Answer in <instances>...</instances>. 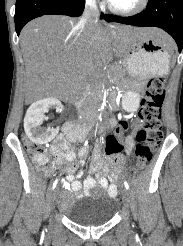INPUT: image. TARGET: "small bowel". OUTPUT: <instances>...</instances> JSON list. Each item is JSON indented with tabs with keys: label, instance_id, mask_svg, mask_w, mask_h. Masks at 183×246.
Listing matches in <instances>:
<instances>
[{
	"label": "small bowel",
	"instance_id": "1",
	"mask_svg": "<svg viewBox=\"0 0 183 246\" xmlns=\"http://www.w3.org/2000/svg\"><path fill=\"white\" fill-rule=\"evenodd\" d=\"M108 129L109 127L105 126L96 128L98 132H104ZM80 133L85 134V131H80ZM70 141H72V139L60 135L56 138L52 146V152L57 158L59 165L63 166L64 161L72 162L71 165L63 167V171L66 173V179L63 182L64 188L74 192L77 197H81L82 187L84 194H88L93 187L98 185L107 189L110 196H116L118 189L115 182L119 179L124 168L126 157H107V154L103 156L101 151H94V161L91 166L94 177L86 178L82 185L80 179L84 178L86 173L84 170L78 172L77 170L84 166L85 159L89 154V149L87 147L81 148L77 153L78 160H76V153L70 148ZM123 142L126 148V154L129 155L134 147V138L132 136H126ZM102 168L109 172L107 177L100 172ZM60 199L61 205L64 208L71 202V196L69 194H62Z\"/></svg>",
	"mask_w": 183,
	"mask_h": 246
}]
</instances>
